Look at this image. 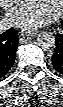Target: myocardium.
<instances>
[{
  "label": "myocardium",
  "instance_id": "obj_1",
  "mask_svg": "<svg viewBox=\"0 0 63 107\" xmlns=\"http://www.w3.org/2000/svg\"><path fill=\"white\" fill-rule=\"evenodd\" d=\"M62 7H63V2H62V0H60L58 9L53 13L54 17H57V16H59L61 14Z\"/></svg>",
  "mask_w": 63,
  "mask_h": 107
}]
</instances>
